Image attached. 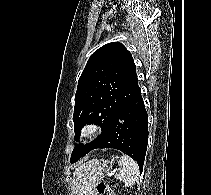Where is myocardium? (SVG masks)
<instances>
[{
  "label": "myocardium",
  "instance_id": "myocardium-1",
  "mask_svg": "<svg viewBox=\"0 0 211 195\" xmlns=\"http://www.w3.org/2000/svg\"><path fill=\"white\" fill-rule=\"evenodd\" d=\"M100 130V125L95 120L86 122L81 129V137L84 139H91L95 137Z\"/></svg>",
  "mask_w": 211,
  "mask_h": 195
}]
</instances>
